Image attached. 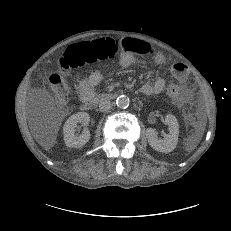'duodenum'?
<instances>
[{
	"label": "duodenum",
	"instance_id": "duodenum-1",
	"mask_svg": "<svg viewBox=\"0 0 231 231\" xmlns=\"http://www.w3.org/2000/svg\"><path fill=\"white\" fill-rule=\"evenodd\" d=\"M116 97H117V93H103L97 96L96 98L83 100L82 106L86 110H92L93 108H95L97 104L105 101L114 100Z\"/></svg>",
	"mask_w": 231,
	"mask_h": 231
}]
</instances>
